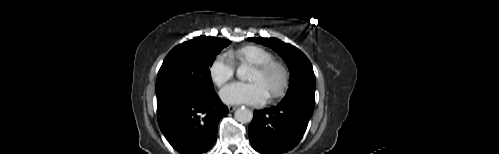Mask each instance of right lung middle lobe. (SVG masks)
I'll use <instances>...</instances> for the list:
<instances>
[{
    "instance_id": "dd1d6c3e",
    "label": "right lung middle lobe",
    "mask_w": 499,
    "mask_h": 154,
    "mask_svg": "<svg viewBox=\"0 0 499 154\" xmlns=\"http://www.w3.org/2000/svg\"><path fill=\"white\" fill-rule=\"evenodd\" d=\"M229 40L200 36L173 48L157 76L156 95L185 91L206 94L214 91L210 66Z\"/></svg>"
}]
</instances>
